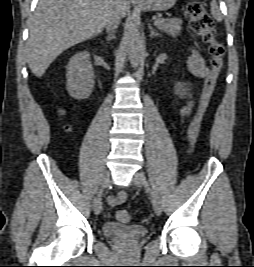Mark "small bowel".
I'll use <instances>...</instances> for the list:
<instances>
[{
    "instance_id": "obj_1",
    "label": "small bowel",
    "mask_w": 254,
    "mask_h": 267,
    "mask_svg": "<svg viewBox=\"0 0 254 267\" xmlns=\"http://www.w3.org/2000/svg\"><path fill=\"white\" fill-rule=\"evenodd\" d=\"M188 69L190 73L198 78H203L207 75L209 68L196 49H191V55L188 59ZM175 96L178 101L185 100L186 103L181 107V114L188 117L191 114L194 101L192 98L191 88L186 83H180L175 89ZM127 195L124 191L119 192L116 195L108 197V204L111 206H117L125 202Z\"/></svg>"
}]
</instances>
